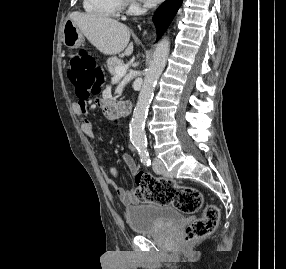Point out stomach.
<instances>
[{"mask_svg":"<svg viewBox=\"0 0 286 269\" xmlns=\"http://www.w3.org/2000/svg\"><path fill=\"white\" fill-rule=\"evenodd\" d=\"M84 41L83 33L71 20L65 22L63 27V43L69 48H78Z\"/></svg>","mask_w":286,"mask_h":269,"instance_id":"1","label":"stomach"}]
</instances>
